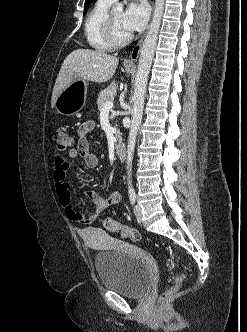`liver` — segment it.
<instances>
[{
  "instance_id": "liver-1",
  "label": "liver",
  "mask_w": 247,
  "mask_h": 332,
  "mask_svg": "<svg viewBox=\"0 0 247 332\" xmlns=\"http://www.w3.org/2000/svg\"><path fill=\"white\" fill-rule=\"evenodd\" d=\"M119 59L101 51L76 49L64 60L57 76L51 98V106L55 107L58 95L76 79H84L95 83L110 80L117 68ZM112 81L110 86H114Z\"/></svg>"
}]
</instances>
